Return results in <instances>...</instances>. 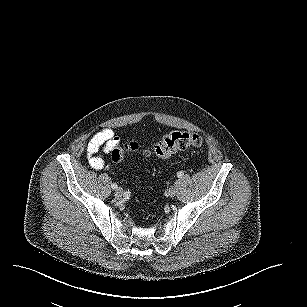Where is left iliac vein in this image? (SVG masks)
<instances>
[{
    "instance_id": "4c4485c4",
    "label": "left iliac vein",
    "mask_w": 307,
    "mask_h": 307,
    "mask_svg": "<svg viewBox=\"0 0 307 307\" xmlns=\"http://www.w3.org/2000/svg\"><path fill=\"white\" fill-rule=\"evenodd\" d=\"M176 193H177V191H176V187H175V186H172L171 188H169V190H168V195H169L170 197L176 196Z\"/></svg>"
}]
</instances>
